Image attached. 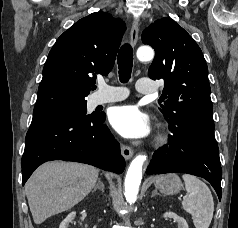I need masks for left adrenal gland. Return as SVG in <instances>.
<instances>
[{
  "mask_svg": "<svg viewBox=\"0 0 238 228\" xmlns=\"http://www.w3.org/2000/svg\"><path fill=\"white\" fill-rule=\"evenodd\" d=\"M155 195H159V193H158L157 189H155V190L152 192V195H151V197H154Z\"/></svg>",
  "mask_w": 238,
  "mask_h": 228,
  "instance_id": "a2214340",
  "label": "left adrenal gland"
}]
</instances>
